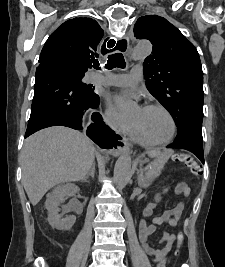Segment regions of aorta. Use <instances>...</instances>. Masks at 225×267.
I'll return each instance as SVG.
<instances>
[{
    "instance_id": "aorta-1",
    "label": "aorta",
    "mask_w": 225,
    "mask_h": 267,
    "mask_svg": "<svg viewBox=\"0 0 225 267\" xmlns=\"http://www.w3.org/2000/svg\"><path fill=\"white\" fill-rule=\"evenodd\" d=\"M152 50L149 42L138 43L134 48V58L143 59ZM131 158L128 155H122L116 161L114 167L113 180L118 188H124L130 178Z\"/></svg>"
}]
</instances>
